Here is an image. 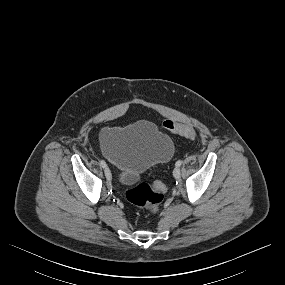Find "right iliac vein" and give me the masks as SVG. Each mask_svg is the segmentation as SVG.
<instances>
[{
    "instance_id": "63e3f726",
    "label": "right iliac vein",
    "mask_w": 285,
    "mask_h": 285,
    "mask_svg": "<svg viewBox=\"0 0 285 285\" xmlns=\"http://www.w3.org/2000/svg\"><path fill=\"white\" fill-rule=\"evenodd\" d=\"M104 172H105V176H106V178L109 180V179H111V177H112V175H111V171L109 170V168H105V170H104Z\"/></svg>"
}]
</instances>
